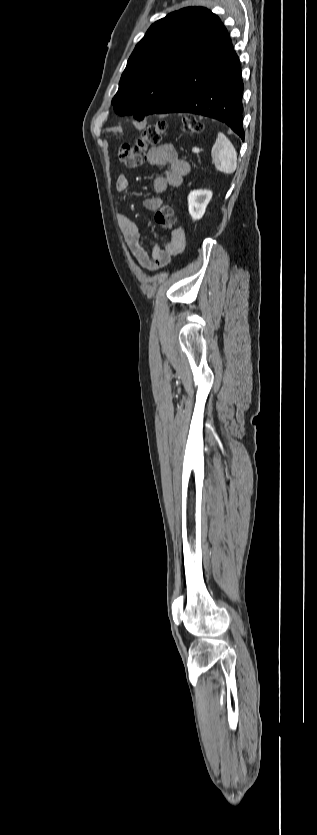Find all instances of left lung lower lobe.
<instances>
[{
    "label": "left lung lower lobe",
    "instance_id": "obj_1",
    "mask_svg": "<svg viewBox=\"0 0 317 835\" xmlns=\"http://www.w3.org/2000/svg\"><path fill=\"white\" fill-rule=\"evenodd\" d=\"M240 61L222 23L186 68L172 98L154 113H193L227 124L244 140ZM152 113V114H154Z\"/></svg>",
    "mask_w": 317,
    "mask_h": 835
}]
</instances>
